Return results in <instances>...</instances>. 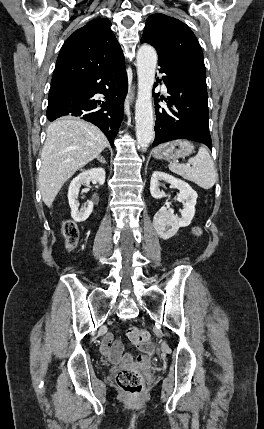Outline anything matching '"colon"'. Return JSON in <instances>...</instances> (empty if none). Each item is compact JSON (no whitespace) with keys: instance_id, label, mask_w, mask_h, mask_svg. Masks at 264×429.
<instances>
[{"instance_id":"colon-1","label":"colon","mask_w":264,"mask_h":429,"mask_svg":"<svg viewBox=\"0 0 264 429\" xmlns=\"http://www.w3.org/2000/svg\"><path fill=\"white\" fill-rule=\"evenodd\" d=\"M62 234L66 247L75 248L80 238L78 225L71 220L66 221L62 227ZM127 339L131 344L140 347L149 342L150 335L143 328L132 327L127 331ZM115 381L121 390L130 395L140 394L144 387L143 376L138 371L129 368L120 369L115 376Z\"/></svg>"}]
</instances>
